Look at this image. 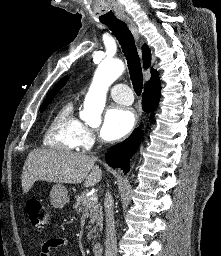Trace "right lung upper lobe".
<instances>
[{
  "label": "right lung upper lobe",
  "instance_id": "cb5924a9",
  "mask_svg": "<svg viewBox=\"0 0 221 256\" xmlns=\"http://www.w3.org/2000/svg\"><path fill=\"white\" fill-rule=\"evenodd\" d=\"M142 55H143V67L146 69L150 66L151 62V54L148 46L146 44L142 47ZM68 77L62 78L58 84L51 90V92L48 94L46 99L52 95H56L58 90H60L67 82ZM160 86V79L159 74L156 70H151V78L148 82H146L144 88H150V87H159Z\"/></svg>",
  "mask_w": 221,
  "mask_h": 256
}]
</instances>
